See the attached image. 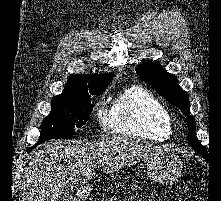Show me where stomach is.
<instances>
[{"label":"stomach","mask_w":221,"mask_h":201,"mask_svg":"<svg viewBox=\"0 0 221 201\" xmlns=\"http://www.w3.org/2000/svg\"><path fill=\"white\" fill-rule=\"evenodd\" d=\"M181 171V160L174 151L159 152L147 158L148 175L159 184H173Z\"/></svg>","instance_id":"1"}]
</instances>
